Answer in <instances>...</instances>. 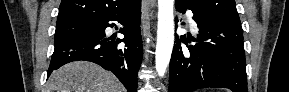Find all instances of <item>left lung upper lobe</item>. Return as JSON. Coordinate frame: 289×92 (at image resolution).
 <instances>
[{"mask_svg":"<svg viewBox=\"0 0 289 92\" xmlns=\"http://www.w3.org/2000/svg\"><path fill=\"white\" fill-rule=\"evenodd\" d=\"M194 8L204 11L221 19L240 23V18L234 0H185Z\"/></svg>","mask_w":289,"mask_h":92,"instance_id":"1","label":"left lung upper lobe"}]
</instances>
